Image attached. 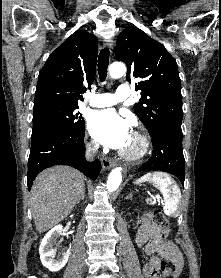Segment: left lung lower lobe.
<instances>
[{"label":"left lung lower lobe","mask_w":221,"mask_h":278,"mask_svg":"<svg viewBox=\"0 0 221 278\" xmlns=\"http://www.w3.org/2000/svg\"><path fill=\"white\" fill-rule=\"evenodd\" d=\"M153 154L139 168L143 170H159L177 176L184 186L185 159L182 150V130L164 127L151 135Z\"/></svg>","instance_id":"0a47b994"}]
</instances>
